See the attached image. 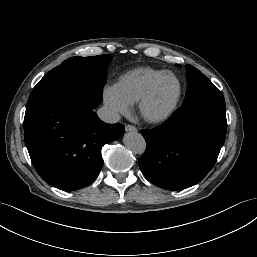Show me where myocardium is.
<instances>
[{
  "instance_id": "f54148a6",
  "label": "myocardium",
  "mask_w": 257,
  "mask_h": 257,
  "mask_svg": "<svg viewBox=\"0 0 257 257\" xmlns=\"http://www.w3.org/2000/svg\"><path fill=\"white\" fill-rule=\"evenodd\" d=\"M167 76H173L178 81V84H179L178 94H177L172 106L164 114L159 115V116H151L147 113L146 107H147L148 103L150 102V100L152 99L160 82ZM183 93H184V85H183L181 78L172 71L164 72L163 74H161L160 76H158L156 79H154L152 81V83L149 85L146 92L141 97V99L138 103V109H139L140 116L142 117V119L144 121H146L147 123H150V124H163V123L169 121L177 112V110L181 104V101H182Z\"/></svg>"
}]
</instances>
